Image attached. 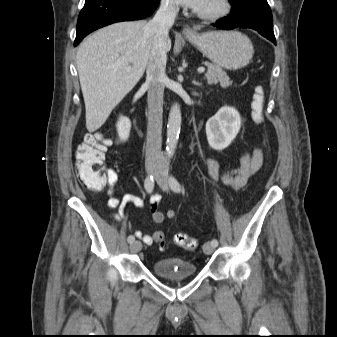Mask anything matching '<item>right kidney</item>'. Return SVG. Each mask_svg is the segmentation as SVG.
<instances>
[{"label":"right kidney","instance_id":"right-kidney-1","mask_svg":"<svg viewBox=\"0 0 337 337\" xmlns=\"http://www.w3.org/2000/svg\"><path fill=\"white\" fill-rule=\"evenodd\" d=\"M116 126L119 138L122 141H126L130 135L131 121L128 118L121 116Z\"/></svg>","mask_w":337,"mask_h":337}]
</instances>
